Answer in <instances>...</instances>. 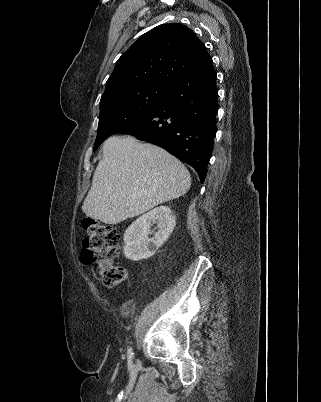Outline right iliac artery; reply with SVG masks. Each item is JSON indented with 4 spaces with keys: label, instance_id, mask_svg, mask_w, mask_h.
I'll return each mask as SVG.
<instances>
[{
    "label": "right iliac artery",
    "instance_id": "obj_1",
    "mask_svg": "<svg viewBox=\"0 0 321 402\" xmlns=\"http://www.w3.org/2000/svg\"><path fill=\"white\" fill-rule=\"evenodd\" d=\"M133 356H134V353H133V351H132V348L131 347H129L128 348V359H132L133 358Z\"/></svg>",
    "mask_w": 321,
    "mask_h": 402
}]
</instances>
